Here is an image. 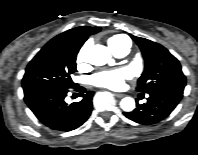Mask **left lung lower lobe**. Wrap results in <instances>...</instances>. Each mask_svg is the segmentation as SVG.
<instances>
[{
    "instance_id": "1",
    "label": "left lung lower lobe",
    "mask_w": 198,
    "mask_h": 155,
    "mask_svg": "<svg viewBox=\"0 0 198 155\" xmlns=\"http://www.w3.org/2000/svg\"><path fill=\"white\" fill-rule=\"evenodd\" d=\"M183 96V92L174 90H159L149 94L147 103L137 104V108L132 112L123 114L143 125L156 124L165 119L178 105Z\"/></svg>"
}]
</instances>
